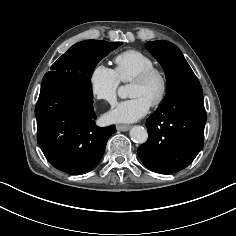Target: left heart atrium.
Returning <instances> with one entry per match:
<instances>
[{"label": "left heart atrium", "mask_w": 236, "mask_h": 236, "mask_svg": "<svg viewBox=\"0 0 236 236\" xmlns=\"http://www.w3.org/2000/svg\"><path fill=\"white\" fill-rule=\"evenodd\" d=\"M150 106L151 104L144 98L135 96L118 103L105 118L111 123L134 122L146 115Z\"/></svg>", "instance_id": "1"}]
</instances>
